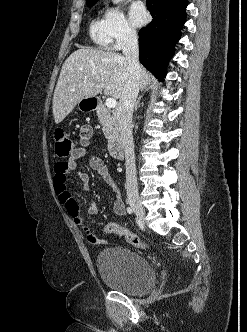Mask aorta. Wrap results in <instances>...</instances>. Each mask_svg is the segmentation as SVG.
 Returning a JSON list of instances; mask_svg holds the SVG:
<instances>
[{
	"label": "aorta",
	"instance_id": "obj_1",
	"mask_svg": "<svg viewBox=\"0 0 247 332\" xmlns=\"http://www.w3.org/2000/svg\"><path fill=\"white\" fill-rule=\"evenodd\" d=\"M112 1H113L114 4H117V3H119L122 0H112Z\"/></svg>",
	"mask_w": 247,
	"mask_h": 332
}]
</instances>
